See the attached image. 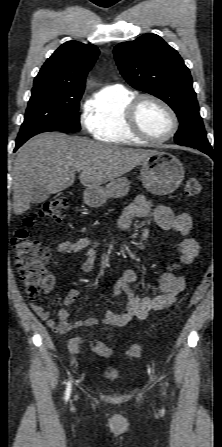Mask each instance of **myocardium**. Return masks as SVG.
I'll use <instances>...</instances> for the list:
<instances>
[{"mask_svg":"<svg viewBox=\"0 0 222 447\" xmlns=\"http://www.w3.org/2000/svg\"><path fill=\"white\" fill-rule=\"evenodd\" d=\"M145 101H151V102L158 104L168 113V115L171 119V122H172V126H171V130L169 131V133L166 136L161 137V138H154L142 129V127L139 123V120H138V112H139L140 106ZM125 117H126L127 125L129 126L131 131L134 134H136L138 137H140L143 140L150 142V143H163V142L170 140L172 137H174V135L177 133L178 128H179L178 117H177V114L175 113V111L173 110V108L165 100H163L162 98L155 96L153 94L145 93V94L135 96L127 106Z\"/></svg>","mask_w":222,"mask_h":447,"instance_id":"f54148a6","label":"myocardium"}]
</instances>
